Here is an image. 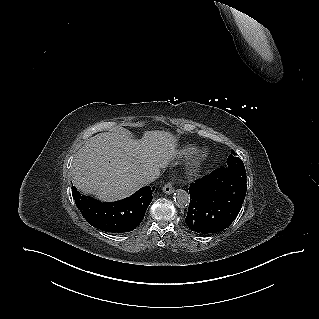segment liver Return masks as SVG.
<instances>
[{
	"instance_id": "6515ba94",
	"label": "liver",
	"mask_w": 319,
	"mask_h": 319,
	"mask_svg": "<svg viewBox=\"0 0 319 319\" xmlns=\"http://www.w3.org/2000/svg\"><path fill=\"white\" fill-rule=\"evenodd\" d=\"M176 154V138L166 131H146L140 140L116 132L99 133L79 149L72 182L86 195L104 201L126 198L144 186L150 172L160 173Z\"/></svg>"
}]
</instances>
